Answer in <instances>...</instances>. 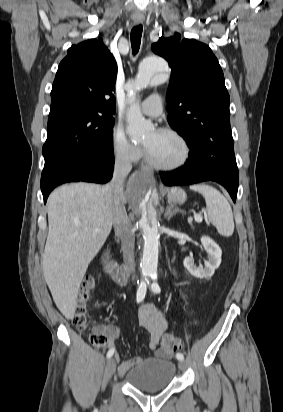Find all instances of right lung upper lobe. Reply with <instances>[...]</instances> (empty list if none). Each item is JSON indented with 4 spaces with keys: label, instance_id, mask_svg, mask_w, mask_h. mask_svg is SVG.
<instances>
[{
    "label": "right lung upper lobe",
    "instance_id": "cb5924a9",
    "mask_svg": "<svg viewBox=\"0 0 283 412\" xmlns=\"http://www.w3.org/2000/svg\"><path fill=\"white\" fill-rule=\"evenodd\" d=\"M67 52L52 86L50 115L79 109L113 117L117 77L113 55L96 39L73 45Z\"/></svg>",
    "mask_w": 283,
    "mask_h": 412
}]
</instances>
